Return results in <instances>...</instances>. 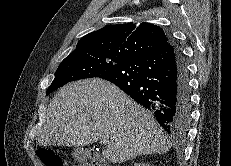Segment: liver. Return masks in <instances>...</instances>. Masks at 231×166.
<instances>
[{"label": "liver", "mask_w": 231, "mask_h": 166, "mask_svg": "<svg viewBox=\"0 0 231 166\" xmlns=\"http://www.w3.org/2000/svg\"><path fill=\"white\" fill-rule=\"evenodd\" d=\"M99 139L109 140L102 155L112 163L170 149L153 115L114 84L93 78L62 87L50 102L37 143L85 146Z\"/></svg>", "instance_id": "liver-1"}]
</instances>
